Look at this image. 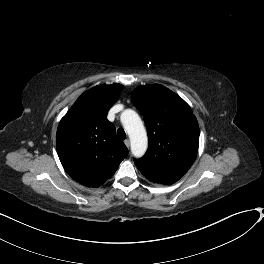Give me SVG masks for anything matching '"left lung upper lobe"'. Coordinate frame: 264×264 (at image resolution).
Returning <instances> with one entry per match:
<instances>
[{
  "instance_id": "left-lung-upper-lobe-1",
  "label": "left lung upper lobe",
  "mask_w": 264,
  "mask_h": 264,
  "mask_svg": "<svg viewBox=\"0 0 264 264\" xmlns=\"http://www.w3.org/2000/svg\"><path fill=\"white\" fill-rule=\"evenodd\" d=\"M131 96L143 115L149 140L146 154L134 163L148 180L171 185L196 159L197 119L182 98L162 85L140 86Z\"/></svg>"
}]
</instances>
